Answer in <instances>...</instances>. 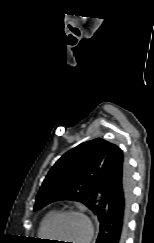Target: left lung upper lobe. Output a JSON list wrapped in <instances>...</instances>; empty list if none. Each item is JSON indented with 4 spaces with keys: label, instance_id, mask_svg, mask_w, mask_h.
Listing matches in <instances>:
<instances>
[{
    "label": "left lung upper lobe",
    "instance_id": "left-lung-upper-lobe-1",
    "mask_svg": "<svg viewBox=\"0 0 154 243\" xmlns=\"http://www.w3.org/2000/svg\"><path fill=\"white\" fill-rule=\"evenodd\" d=\"M113 147L117 146L97 138L65 153L43 181L34 210L57 200H73L83 203L93 211L97 197L94 184L107 154Z\"/></svg>",
    "mask_w": 154,
    "mask_h": 243
}]
</instances>
